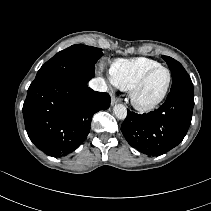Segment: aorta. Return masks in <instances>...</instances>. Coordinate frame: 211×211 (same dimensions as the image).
<instances>
[{
  "mask_svg": "<svg viewBox=\"0 0 211 211\" xmlns=\"http://www.w3.org/2000/svg\"><path fill=\"white\" fill-rule=\"evenodd\" d=\"M113 113L118 119H125L127 116V109L123 104H117L113 108Z\"/></svg>",
  "mask_w": 211,
  "mask_h": 211,
  "instance_id": "1",
  "label": "aorta"
}]
</instances>
